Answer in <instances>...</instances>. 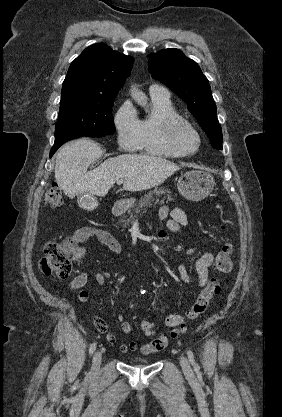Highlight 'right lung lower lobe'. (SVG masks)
Listing matches in <instances>:
<instances>
[{"label": "right lung lower lobe", "mask_w": 282, "mask_h": 417, "mask_svg": "<svg viewBox=\"0 0 282 417\" xmlns=\"http://www.w3.org/2000/svg\"><path fill=\"white\" fill-rule=\"evenodd\" d=\"M81 136H68V137H64L58 140H55L54 146L52 147L51 151H50V157H52V155L56 152V150L65 142L72 140L74 138H78Z\"/></svg>", "instance_id": "98d812e1"}]
</instances>
